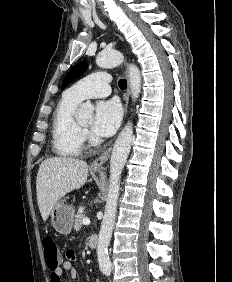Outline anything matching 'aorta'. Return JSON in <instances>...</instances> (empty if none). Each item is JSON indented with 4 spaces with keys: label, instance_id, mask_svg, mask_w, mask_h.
<instances>
[{
    "label": "aorta",
    "instance_id": "762f6f07",
    "mask_svg": "<svg viewBox=\"0 0 232 282\" xmlns=\"http://www.w3.org/2000/svg\"><path fill=\"white\" fill-rule=\"evenodd\" d=\"M124 56L117 50H103L96 57V63L101 68H112L120 65ZM129 79L132 98L136 99L141 90V74L136 65H129ZM81 118H92L93 107L90 104H83L78 112ZM133 139L132 123L128 122L118 135L113 146L110 158V177L104 216L99 232L97 257L99 268L104 274L111 273L112 263L108 255V245L112 236L115 222L117 203L119 199L120 180L122 170L130 152Z\"/></svg>",
    "mask_w": 232,
    "mask_h": 282
}]
</instances>
